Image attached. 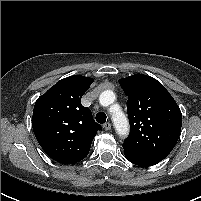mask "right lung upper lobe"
<instances>
[{
	"mask_svg": "<svg viewBox=\"0 0 201 201\" xmlns=\"http://www.w3.org/2000/svg\"><path fill=\"white\" fill-rule=\"evenodd\" d=\"M92 78L74 75L58 81L34 106L32 127L45 153L62 164L84 159L101 126L81 97L89 89Z\"/></svg>",
	"mask_w": 201,
	"mask_h": 201,
	"instance_id": "obj_1",
	"label": "right lung upper lobe"
}]
</instances>
